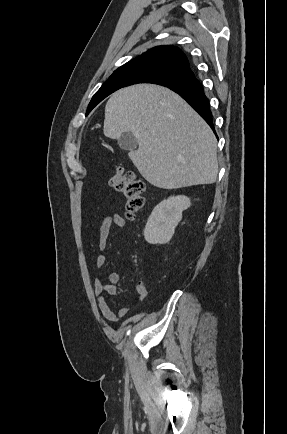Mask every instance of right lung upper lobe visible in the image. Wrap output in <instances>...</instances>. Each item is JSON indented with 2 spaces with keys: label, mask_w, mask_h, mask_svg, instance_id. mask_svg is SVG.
<instances>
[{
  "label": "right lung upper lobe",
  "mask_w": 287,
  "mask_h": 434,
  "mask_svg": "<svg viewBox=\"0 0 287 434\" xmlns=\"http://www.w3.org/2000/svg\"><path fill=\"white\" fill-rule=\"evenodd\" d=\"M142 68L165 70L180 76L179 80L183 79L189 72H191L187 57L179 48L174 46H157L127 62L115 70L114 73L127 72ZM179 80L162 81L158 84L168 86Z\"/></svg>",
  "instance_id": "obj_1"
}]
</instances>
